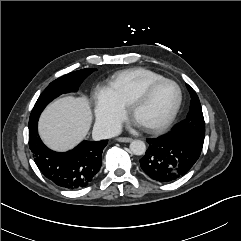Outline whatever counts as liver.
<instances>
[{
  "mask_svg": "<svg viewBox=\"0 0 241 241\" xmlns=\"http://www.w3.org/2000/svg\"><path fill=\"white\" fill-rule=\"evenodd\" d=\"M91 121L87 98L67 96L53 101L44 110L39 120V134L51 149L66 151L85 138Z\"/></svg>",
  "mask_w": 241,
  "mask_h": 241,
  "instance_id": "1",
  "label": "liver"
}]
</instances>
